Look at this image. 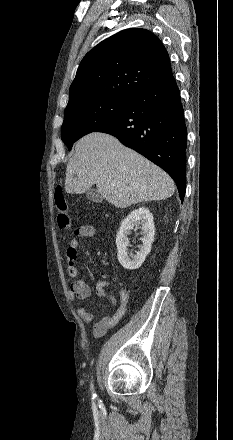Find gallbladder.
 Returning a JSON list of instances; mask_svg holds the SVG:
<instances>
[{
  "label": "gallbladder",
  "instance_id": "gallbladder-1",
  "mask_svg": "<svg viewBox=\"0 0 233 440\" xmlns=\"http://www.w3.org/2000/svg\"><path fill=\"white\" fill-rule=\"evenodd\" d=\"M86 196L90 201L101 203L103 201L102 195L95 189H89Z\"/></svg>",
  "mask_w": 233,
  "mask_h": 440
}]
</instances>
